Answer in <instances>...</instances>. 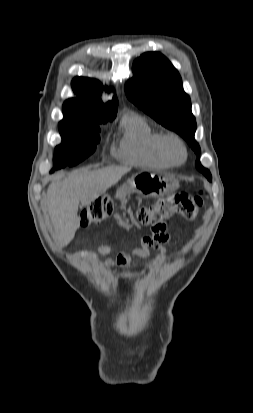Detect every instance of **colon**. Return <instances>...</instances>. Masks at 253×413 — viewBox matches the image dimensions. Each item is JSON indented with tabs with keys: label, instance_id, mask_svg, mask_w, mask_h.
I'll return each instance as SVG.
<instances>
[{
	"label": "colon",
	"instance_id": "obj_1",
	"mask_svg": "<svg viewBox=\"0 0 253 413\" xmlns=\"http://www.w3.org/2000/svg\"><path fill=\"white\" fill-rule=\"evenodd\" d=\"M202 205L203 195L201 192L195 195L179 192L160 198L154 204L138 206L136 218L141 225L157 229L174 215H180L188 220L194 219ZM114 210L115 204L111 197L99 198L82 212L81 226L87 228L97 225L110 217Z\"/></svg>",
	"mask_w": 253,
	"mask_h": 413
}]
</instances>
